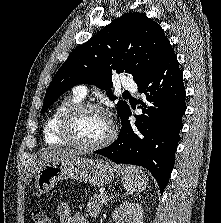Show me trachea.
I'll return each instance as SVG.
<instances>
[{
  "label": "trachea",
  "mask_w": 221,
  "mask_h": 223,
  "mask_svg": "<svg viewBox=\"0 0 221 223\" xmlns=\"http://www.w3.org/2000/svg\"><path fill=\"white\" fill-rule=\"evenodd\" d=\"M123 95H130V93H129L128 91H125V92L123 93Z\"/></svg>",
  "instance_id": "3493384b"
}]
</instances>
